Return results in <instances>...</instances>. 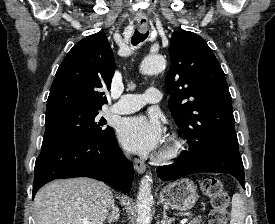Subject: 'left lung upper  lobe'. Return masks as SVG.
I'll list each match as a JSON object with an SVG mask.
<instances>
[{
	"label": "left lung upper lobe",
	"instance_id": "obj_1",
	"mask_svg": "<svg viewBox=\"0 0 275 224\" xmlns=\"http://www.w3.org/2000/svg\"><path fill=\"white\" fill-rule=\"evenodd\" d=\"M169 54V109L190 147H238L231 95L210 47L199 35L181 29L172 34Z\"/></svg>",
	"mask_w": 275,
	"mask_h": 224
}]
</instances>
